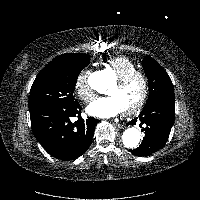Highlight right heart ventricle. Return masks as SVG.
I'll return each instance as SVG.
<instances>
[{
  "instance_id": "1",
  "label": "right heart ventricle",
  "mask_w": 200,
  "mask_h": 200,
  "mask_svg": "<svg viewBox=\"0 0 200 200\" xmlns=\"http://www.w3.org/2000/svg\"><path fill=\"white\" fill-rule=\"evenodd\" d=\"M104 66L110 69L116 78L137 70L135 63L126 56H115L104 61Z\"/></svg>"
}]
</instances>
